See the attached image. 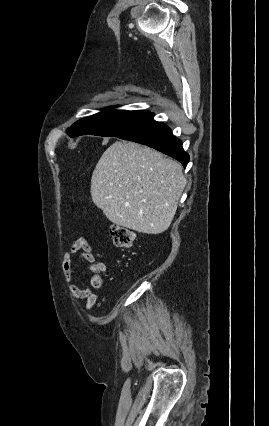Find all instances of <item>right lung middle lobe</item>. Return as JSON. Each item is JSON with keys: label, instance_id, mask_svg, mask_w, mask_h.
<instances>
[{"label": "right lung middle lobe", "instance_id": "1", "mask_svg": "<svg viewBox=\"0 0 269 426\" xmlns=\"http://www.w3.org/2000/svg\"><path fill=\"white\" fill-rule=\"evenodd\" d=\"M150 114L149 111L108 109L77 121L69 130L73 136L90 134L119 137L135 129Z\"/></svg>", "mask_w": 269, "mask_h": 426}]
</instances>
